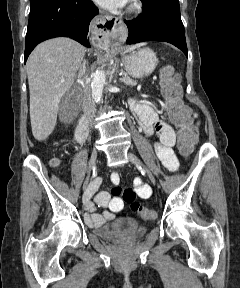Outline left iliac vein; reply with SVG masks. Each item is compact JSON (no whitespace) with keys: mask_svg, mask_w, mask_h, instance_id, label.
<instances>
[{"mask_svg":"<svg viewBox=\"0 0 240 288\" xmlns=\"http://www.w3.org/2000/svg\"><path fill=\"white\" fill-rule=\"evenodd\" d=\"M128 159L130 162H132L133 164L139 166L142 168V170L148 175V177L150 178L151 182L153 184H155V178L152 175V173L150 172V170L142 163V161L133 153H128Z\"/></svg>","mask_w":240,"mask_h":288,"instance_id":"left-iliac-vein-1","label":"left iliac vein"}]
</instances>
